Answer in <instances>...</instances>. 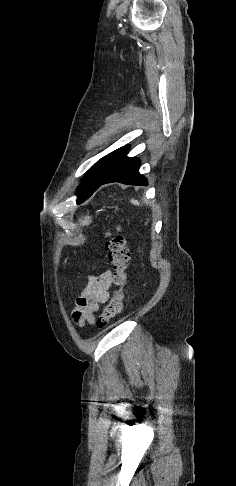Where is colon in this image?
<instances>
[{
	"instance_id": "5ec220e1",
	"label": "colon",
	"mask_w": 236,
	"mask_h": 486,
	"mask_svg": "<svg viewBox=\"0 0 236 486\" xmlns=\"http://www.w3.org/2000/svg\"><path fill=\"white\" fill-rule=\"evenodd\" d=\"M106 250L108 262L114 271L113 280L116 289L112 298L97 318L98 327L107 326L123 309L125 297L124 290L127 282V266L130 259V253L126 246L125 238L122 236L119 228H116L112 232H108Z\"/></svg>"
}]
</instances>
